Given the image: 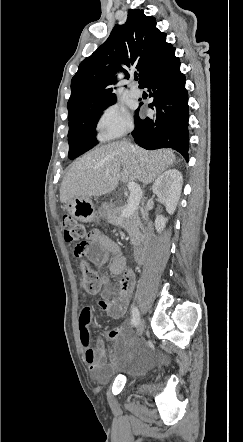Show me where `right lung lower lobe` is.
I'll list each match as a JSON object with an SVG mask.
<instances>
[{
	"label": "right lung lower lobe",
	"instance_id": "right-lung-lower-lobe-1",
	"mask_svg": "<svg viewBox=\"0 0 243 442\" xmlns=\"http://www.w3.org/2000/svg\"><path fill=\"white\" fill-rule=\"evenodd\" d=\"M140 87H146L151 92L150 97H154V100L149 106L156 113L153 118L141 120L139 108L136 110L135 129L132 132L135 142L149 150L175 149L188 161V94L185 75L180 72L175 49Z\"/></svg>",
	"mask_w": 243,
	"mask_h": 442
}]
</instances>
